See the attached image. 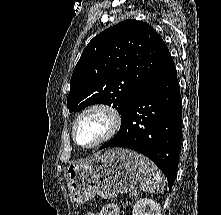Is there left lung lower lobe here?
Here are the masks:
<instances>
[{"instance_id": "1", "label": "left lung lower lobe", "mask_w": 221, "mask_h": 215, "mask_svg": "<svg viewBox=\"0 0 221 215\" xmlns=\"http://www.w3.org/2000/svg\"><path fill=\"white\" fill-rule=\"evenodd\" d=\"M121 118L119 132L100 149L118 146L144 154L166 175L171 189L181 140V101L171 56L137 93Z\"/></svg>"}]
</instances>
